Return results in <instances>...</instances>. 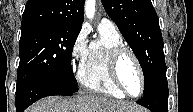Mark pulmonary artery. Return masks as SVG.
<instances>
[{
  "instance_id": "pulmonary-artery-1",
  "label": "pulmonary artery",
  "mask_w": 193,
  "mask_h": 112,
  "mask_svg": "<svg viewBox=\"0 0 193 112\" xmlns=\"http://www.w3.org/2000/svg\"><path fill=\"white\" fill-rule=\"evenodd\" d=\"M100 26L111 28V29H116L115 23L107 17L102 18V20L100 22Z\"/></svg>"
}]
</instances>
